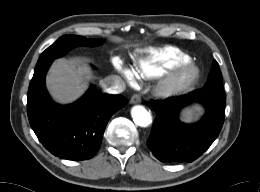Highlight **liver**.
Here are the masks:
<instances>
[{"label": "liver", "instance_id": "1", "mask_svg": "<svg viewBox=\"0 0 260 192\" xmlns=\"http://www.w3.org/2000/svg\"><path fill=\"white\" fill-rule=\"evenodd\" d=\"M95 78L87 64L59 59L52 64L46 85L56 102L68 104L79 99Z\"/></svg>", "mask_w": 260, "mask_h": 192}]
</instances>
